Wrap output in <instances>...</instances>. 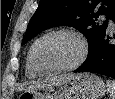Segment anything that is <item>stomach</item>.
Wrapping results in <instances>:
<instances>
[{"mask_svg":"<svg viewBox=\"0 0 115 99\" xmlns=\"http://www.w3.org/2000/svg\"><path fill=\"white\" fill-rule=\"evenodd\" d=\"M106 92L104 81L91 73L71 74L41 88L27 89L21 99H99Z\"/></svg>","mask_w":115,"mask_h":99,"instance_id":"obj_1","label":"stomach"}]
</instances>
